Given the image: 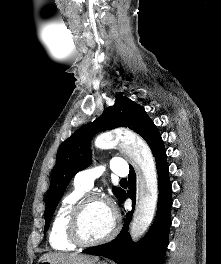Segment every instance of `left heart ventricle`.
<instances>
[{
	"label": "left heart ventricle",
	"instance_id": "left-heart-ventricle-1",
	"mask_svg": "<svg viewBox=\"0 0 221 264\" xmlns=\"http://www.w3.org/2000/svg\"><path fill=\"white\" fill-rule=\"evenodd\" d=\"M112 212L101 202H90L85 207L81 218V232L87 240L104 237L112 226Z\"/></svg>",
	"mask_w": 221,
	"mask_h": 264
}]
</instances>
